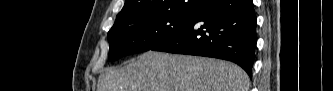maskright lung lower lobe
<instances>
[{"mask_svg":"<svg viewBox=\"0 0 333 91\" xmlns=\"http://www.w3.org/2000/svg\"><path fill=\"white\" fill-rule=\"evenodd\" d=\"M256 22L252 0H212L151 50L229 60L252 77Z\"/></svg>","mask_w":333,"mask_h":91,"instance_id":"obj_1","label":"right lung lower lobe"}]
</instances>
